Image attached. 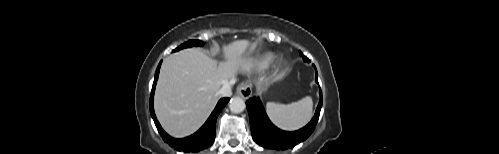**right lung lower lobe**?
<instances>
[{"mask_svg": "<svg viewBox=\"0 0 499 154\" xmlns=\"http://www.w3.org/2000/svg\"><path fill=\"white\" fill-rule=\"evenodd\" d=\"M160 66L161 62L158 65V68L155 73V78L149 103L150 113L157 127L158 132L160 133L165 142H167L171 147L177 149L178 151L198 152L201 151L202 149L208 148L214 142L215 139V127H216L217 117L230 99L222 98L218 102L217 106L215 107L214 111L212 112L206 123L195 134L183 139L172 138L162 129L154 113L153 98H154L155 86L158 79Z\"/></svg>", "mask_w": 499, "mask_h": 154, "instance_id": "98d812e1", "label": "right lung lower lobe"}]
</instances>
